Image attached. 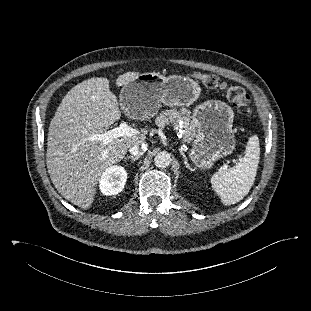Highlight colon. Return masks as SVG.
<instances>
[{
    "instance_id": "colon-1",
    "label": "colon",
    "mask_w": 311,
    "mask_h": 311,
    "mask_svg": "<svg viewBox=\"0 0 311 311\" xmlns=\"http://www.w3.org/2000/svg\"><path fill=\"white\" fill-rule=\"evenodd\" d=\"M193 76L208 88L225 89L229 102L239 115H250L252 113L250 97L242 87L227 86L214 74L195 73Z\"/></svg>"
}]
</instances>
